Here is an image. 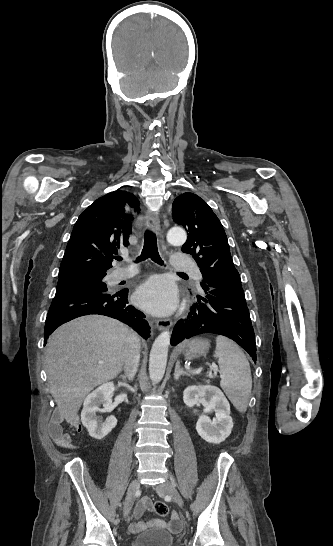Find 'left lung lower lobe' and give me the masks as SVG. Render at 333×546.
I'll use <instances>...</instances> for the list:
<instances>
[{
    "label": "left lung lower lobe",
    "mask_w": 333,
    "mask_h": 546,
    "mask_svg": "<svg viewBox=\"0 0 333 546\" xmlns=\"http://www.w3.org/2000/svg\"><path fill=\"white\" fill-rule=\"evenodd\" d=\"M202 289L190 312L175 325L171 345L199 334H218L237 342L256 362L255 334L243 289Z\"/></svg>",
    "instance_id": "0a47b994"
}]
</instances>
